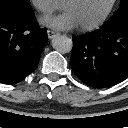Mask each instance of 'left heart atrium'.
Here are the masks:
<instances>
[{"mask_svg": "<svg viewBox=\"0 0 128 128\" xmlns=\"http://www.w3.org/2000/svg\"><path fill=\"white\" fill-rule=\"evenodd\" d=\"M40 23L55 30H70L78 26L74 16L67 10L40 19Z\"/></svg>", "mask_w": 128, "mask_h": 128, "instance_id": "39dd6f15", "label": "left heart atrium"}]
</instances>
